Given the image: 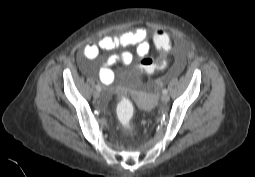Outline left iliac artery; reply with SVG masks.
<instances>
[{"label":"left iliac artery","mask_w":255,"mask_h":177,"mask_svg":"<svg viewBox=\"0 0 255 177\" xmlns=\"http://www.w3.org/2000/svg\"><path fill=\"white\" fill-rule=\"evenodd\" d=\"M162 93H163V94H167V93H168V90H167V89H163V90H162Z\"/></svg>","instance_id":"44dca946"}]
</instances>
